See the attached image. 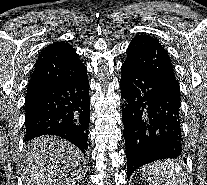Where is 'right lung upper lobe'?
Wrapping results in <instances>:
<instances>
[{
    "mask_svg": "<svg viewBox=\"0 0 207 185\" xmlns=\"http://www.w3.org/2000/svg\"><path fill=\"white\" fill-rule=\"evenodd\" d=\"M86 71L71 45L64 41L50 44L36 61L26 96L77 78Z\"/></svg>",
    "mask_w": 207,
    "mask_h": 185,
    "instance_id": "obj_1",
    "label": "right lung upper lobe"
}]
</instances>
